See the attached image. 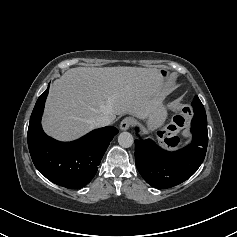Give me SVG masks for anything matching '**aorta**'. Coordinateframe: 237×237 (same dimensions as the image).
<instances>
[{
	"label": "aorta",
	"instance_id": "obj_1",
	"mask_svg": "<svg viewBox=\"0 0 237 237\" xmlns=\"http://www.w3.org/2000/svg\"><path fill=\"white\" fill-rule=\"evenodd\" d=\"M133 136L129 132H122L118 136V143L124 148H129L133 145Z\"/></svg>",
	"mask_w": 237,
	"mask_h": 237
}]
</instances>
